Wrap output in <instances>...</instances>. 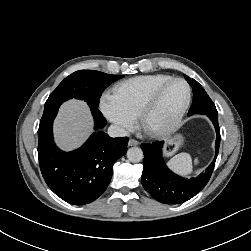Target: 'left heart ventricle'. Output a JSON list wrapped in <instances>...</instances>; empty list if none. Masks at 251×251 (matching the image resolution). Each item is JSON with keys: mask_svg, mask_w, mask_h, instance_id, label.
<instances>
[{"mask_svg": "<svg viewBox=\"0 0 251 251\" xmlns=\"http://www.w3.org/2000/svg\"><path fill=\"white\" fill-rule=\"evenodd\" d=\"M187 98L186 86L173 82L162 92L157 105L147 119V126L155 129L168 124L181 110Z\"/></svg>", "mask_w": 251, "mask_h": 251, "instance_id": "1", "label": "left heart ventricle"}]
</instances>
